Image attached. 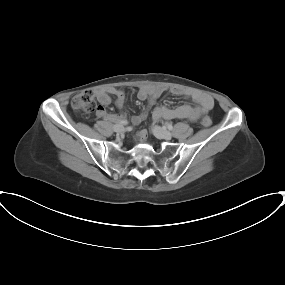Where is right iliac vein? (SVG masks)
Segmentation results:
<instances>
[{"label": "right iliac vein", "instance_id": "1", "mask_svg": "<svg viewBox=\"0 0 285 285\" xmlns=\"http://www.w3.org/2000/svg\"><path fill=\"white\" fill-rule=\"evenodd\" d=\"M113 129H114V131L117 132V133H122V132H124V130H125L124 126H122V125H120V124L114 125Z\"/></svg>", "mask_w": 285, "mask_h": 285}]
</instances>
